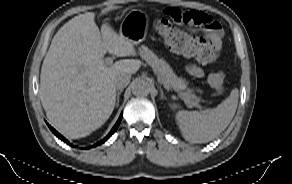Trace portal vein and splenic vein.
Listing matches in <instances>:
<instances>
[{
	"mask_svg": "<svg viewBox=\"0 0 292 184\" xmlns=\"http://www.w3.org/2000/svg\"><path fill=\"white\" fill-rule=\"evenodd\" d=\"M113 63V58L112 57H108V58H106L105 59V64H107V65H111ZM181 97H183V99H184V102L185 103H189V100L187 99V98H185V96H184V94L183 93H180L179 94ZM189 106H194L195 104L194 103H190V104H188ZM200 107V106H199Z\"/></svg>",
	"mask_w": 292,
	"mask_h": 184,
	"instance_id": "portal-vein-and-splenic-vein-1",
	"label": "portal vein and splenic vein"
}]
</instances>
